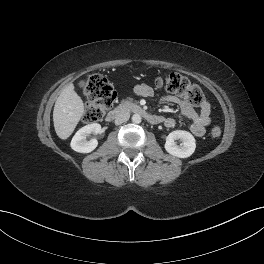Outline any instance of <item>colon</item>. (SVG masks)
Returning <instances> with one entry per match:
<instances>
[{
  "instance_id": "obj_1",
  "label": "colon",
  "mask_w": 264,
  "mask_h": 264,
  "mask_svg": "<svg viewBox=\"0 0 264 264\" xmlns=\"http://www.w3.org/2000/svg\"><path fill=\"white\" fill-rule=\"evenodd\" d=\"M154 85L182 97L190 105H201L204 102L202 89L178 73L159 75L154 79ZM84 94L87 98L83 117L86 123L100 121L116 100V92L111 83L100 74L89 77ZM209 134L212 138H218L221 128L214 125Z\"/></svg>"
}]
</instances>
